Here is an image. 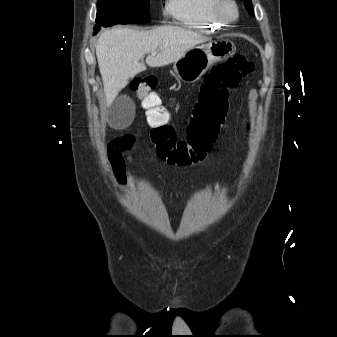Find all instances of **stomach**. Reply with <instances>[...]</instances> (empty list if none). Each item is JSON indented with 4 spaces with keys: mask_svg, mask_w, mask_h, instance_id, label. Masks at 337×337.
I'll list each match as a JSON object with an SVG mask.
<instances>
[{
    "mask_svg": "<svg viewBox=\"0 0 337 337\" xmlns=\"http://www.w3.org/2000/svg\"><path fill=\"white\" fill-rule=\"evenodd\" d=\"M234 51L235 45L228 39L195 45L174 62L173 69L180 80L193 83L199 80L212 64L226 59Z\"/></svg>",
    "mask_w": 337,
    "mask_h": 337,
    "instance_id": "obj_1",
    "label": "stomach"
}]
</instances>
